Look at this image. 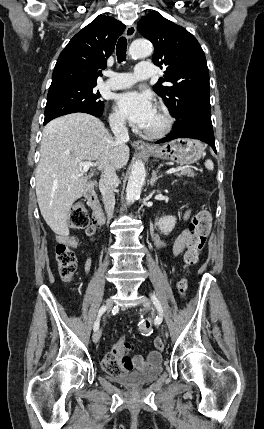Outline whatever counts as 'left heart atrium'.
<instances>
[{"mask_svg":"<svg viewBox=\"0 0 264 429\" xmlns=\"http://www.w3.org/2000/svg\"><path fill=\"white\" fill-rule=\"evenodd\" d=\"M118 113L139 128H145L156 113L151 96L144 92L128 91L116 97Z\"/></svg>","mask_w":264,"mask_h":429,"instance_id":"39dd6f15","label":"left heart atrium"}]
</instances>
